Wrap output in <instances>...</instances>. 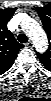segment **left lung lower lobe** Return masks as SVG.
Segmentation results:
<instances>
[{"label": "left lung lower lobe", "mask_w": 51, "mask_h": 101, "mask_svg": "<svg viewBox=\"0 0 51 101\" xmlns=\"http://www.w3.org/2000/svg\"><path fill=\"white\" fill-rule=\"evenodd\" d=\"M41 63L43 64L44 62H42V60L40 59ZM44 65V64H43ZM47 69L51 68V65H44Z\"/></svg>", "instance_id": "left-lung-lower-lobe-1"}]
</instances>
